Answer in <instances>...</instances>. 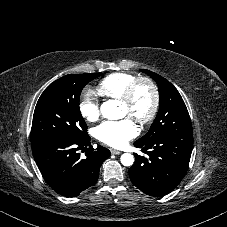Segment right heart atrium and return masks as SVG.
<instances>
[{
  "label": "right heart atrium",
  "mask_w": 227,
  "mask_h": 227,
  "mask_svg": "<svg viewBox=\"0 0 227 227\" xmlns=\"http://www.w3.org/2000/svg\"><path fill=\"white\" fill-rule=\"evenodd\" d=\"M80 114L87 121H95L100 116V102L96 94L91 91L85 92L79 101Z\"/></svg>",
  "instance_id": "d8ad5b80"
}]
</instances>
